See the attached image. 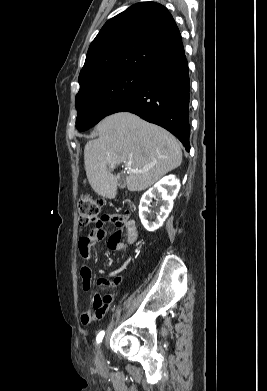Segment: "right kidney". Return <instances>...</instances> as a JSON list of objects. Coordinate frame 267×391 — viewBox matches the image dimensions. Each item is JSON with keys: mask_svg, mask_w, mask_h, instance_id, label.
Wrapping results in <instances>:
<instances>
[{"mask_svg": "<svg viewBox=\"0 0 267 391\" xmlns=\"http://www.w3.org/2000/svg\"><path fill=\"white\" fill-rule=\"evenodd\" d=\"M180 189V181L175 175H168L157 182L152 188L147 190L141 197L139 204V217L142 225L147 231L154 232L163 225L173 208V200ZM160 197V212L154 221L149 220L150 206L152 198Z\"/></svg>", "mask_w": 267, "mask_h": 391, "instance_id": "obj_1", "label": "right kidney"}]
</instances>
